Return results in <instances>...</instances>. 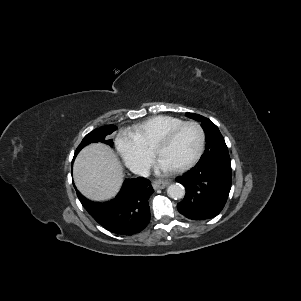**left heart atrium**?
<instances>
[{"mask_svg":"<svg viewBox=\"0 0 301 301\" xmlns=\"http://www.w3.org/2000/svg\"><path fill=\"white\" fill-rule=\"evenodd\" d=\"M173 169H174V167L171 166L170 164L166 163L165 161H163V160L159 161L158 172H169Z\"/></svg>","mask_w":301,"mask_h":301,"instance_id":"obj_1","label":"left heart atrium"}]
</instances>
